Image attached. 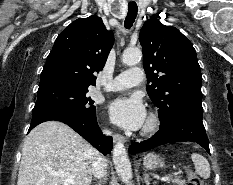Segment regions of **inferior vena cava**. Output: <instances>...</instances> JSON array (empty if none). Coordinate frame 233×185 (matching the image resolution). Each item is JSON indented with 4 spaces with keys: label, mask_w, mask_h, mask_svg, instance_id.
Masks as SVG:
<instances>
[{
    "label": "inferior vena cava",
    "mask_w": 233,
    "mask_h": 185,
    "mask_svg": "<svg viewBox=\"0 0 233 185\" xmlns=\"http://www.w3.org/2000/svg\"><path fill=\"white\" fill-rule=\"evenodd\" d=\"M106 135H110V131L105 130L103 132ZM92 172L97 179L106 178L107 175V165L106 160L99 156L97 157L92 164Z\"/></svg>",
    "instance_id": "1"
}]
</instances>
